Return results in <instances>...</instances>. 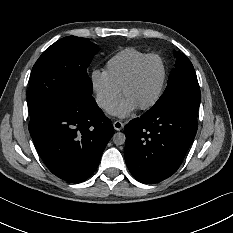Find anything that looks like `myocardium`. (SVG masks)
<instances>
[{"mask_svg": "<svg viewBox=\"0 0 233 233\" xmlns=\"http://www.w3.org/2000/svg\"><path fill=\"white\" fill-rule=\"evenodd\" d=\"M153 58H159L162 60L163 65H164V78H163V82L161 85V88L159 90L158 95L156 96V98L149 103L148 105L145 106H141L139 107V109L141 111H149L151 109H153L154 107H156L160 101L162 100L166 88H167V84H168V80H169V66L168 63L166 61V59L159 53H150L148 54L134 69L133 71L130 73V75L127 77V79L125 80V82L122 85L121 91L122 94L125 96L127 90L129 89V87L135 82V80L138 78L139 74L141 73L142 69L145 67V65Z\"/></svg>", "mask_w": 233, "mask_h": 233, "instance_id": "f54148a6", "label": "myocardium"}]
</instances>
